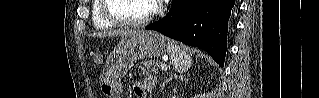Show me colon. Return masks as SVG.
<instances>
[{"mask_svg": "<svg viewBox=\"0 0 319 98\" xmlns=\"http://www.w3.org/2000/svg\"><path fill=\"white\" fill-rule=\"evenodd\" d=\"M90 57L95 63H101L102 61V56L98 49H95V48L91 49Z\"/></svg>", "mask_w": 319, "mask_h": 98, "instance_id": "5ec220e1", "label": "colon"}]
</instances>
